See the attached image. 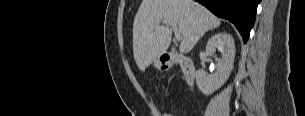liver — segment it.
Returning a JSON list of instances; mask_svg holds the SVG:
<instances>
[{
  "mask_svg": "<svg viewBox=\"0 0 305 116\" xmlns=\"http://www.w3.org/2000/svg\"><path fill=\"white\" fill-rule=\"evenodd\" d=\"M164 20L177 23L182 36L181 53H189L208 30L220 26V19L194 0H143L134 18L133 55L141 71L164 54L172 38Z\"/></svg>",
  "mask_w": 305,
  "mask_h": 116,
  "instance_id": "1",
  "label": "liver"
}]
</instances>
